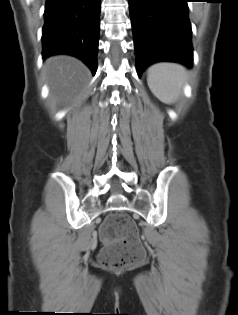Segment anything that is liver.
Instances as JSON below:
<instances>
[{"label":"liver","instance_id":"obj_1","mask_svg":"<svg viewBox=\"0 0 238 315\" xmlns=\"http://www.w3.org/2000/svg\"><path fill=\"white\" fill-rule=\"evenodd\" d=\"M44 71L51 97L66 104L82 93L90 76L89 69L81 61L67 55L48 58Z\"/></svg>","mask_w":238,"mask_h":315}]
</instances>
